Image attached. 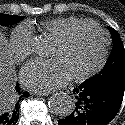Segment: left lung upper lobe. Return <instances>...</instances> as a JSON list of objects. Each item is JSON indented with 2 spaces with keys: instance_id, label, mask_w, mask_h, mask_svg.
<instances>
[{
  "instance_id": "left-lung-upper-lobe-1",
  "label": "left lung upper lobe",
  "mask_w": 125,
  "mask_h": 125,
  "mask_svg": "<svg viewBox=\"0 0 125 125\" xmlns=\"http://www.w3.org/2000/svg\"><path fill=\"white\" fill-rule=\"evenodd\" d=\"M113 37L112 53L102 71L86 81L89 84H97L114 77L125 75V50L121 38L116 30L110 28Z\"/></svg>"
}]
</instances>
